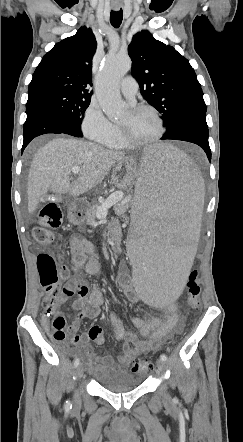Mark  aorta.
<instances>
[{
	"label": "aorta",
	"mask_w": 243,
	"mask_h": 442,
	"mask_svg": "<svg viewBox=\"0 0 243 442\" xmlns=\"http://www.w3.org/2000/svg\"><path fill=\"white\" fill-rule=\"evenodd\" d=\"M129 57L109 55L96 78V96L98 103L109 119L123 114L126 108L119 92L120 79L130 70Z\"/></svg>",
	"instance_id": "aorta-1"
}]
</instances>
